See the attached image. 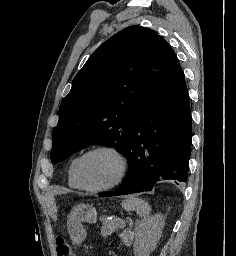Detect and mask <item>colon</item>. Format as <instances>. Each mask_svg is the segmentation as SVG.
<instances>
[{"mask_svg":"<svg viewBox=\"0 0 236 256\" xmlns=\"http://www.w3.org/2000/svg\"><path fill=\"white\" fill-rule=\"evenodd\" d=\"M57 256H71V251L63 236L56 238ZM111 256L113 254H110Z\"/></svg>","mask_w":236,"mask_h":256,"instance_id":"1","label":"colon"}]
</instances>
